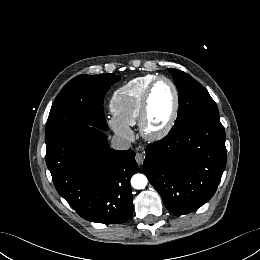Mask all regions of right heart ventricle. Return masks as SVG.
Wrapping results in <instances>:
<instances>
[{
	"instance_id": "e07e8e85",
	"label": "right heart ventricle",
	"mask_w": 260,
	"mask_h": 260,
	"mask_svg": "<svg viewBox=\"0 0 260 260\" xmlns=\"http://www.w3.org/2000/svg\"><path fill=\"white\" fill-rule=\"evenodd\" d=\"M156 75L137 77L114 91L110 108L115 118L127 126L138 123L143 96Z\"/></svg>"
}]
</instances>
